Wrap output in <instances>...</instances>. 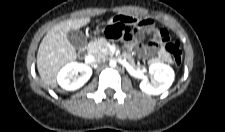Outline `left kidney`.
Returning <instances> with one entry per match:
<instances>
[{
	"mask_svg": "<svg viewBox=\"0 0 225 132\" xmlns=\"http://www.w3.org/2000/svg\"><path fill=\"white\" fill-rule=\"evenodd\" d=\"M149 74L152 77L151 81L144 78L140 82V89L151 95H159L166 91L172 85L175 77L173 69L162 63L150 65Z\"/></svg>",
	"mask_w": 225,
	"mask_h": 132,
	"instance_id": "obj_1",
	"label": "left kidney"
}]
</instances>
